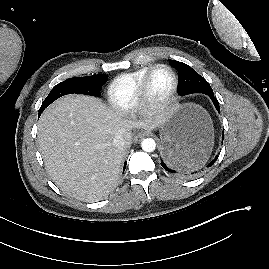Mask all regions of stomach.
<instances>
[{
	"instance_id": "obj_1",
	"label": "stomach",
	"mask_w": 269,
	"mask_h": 269,
	"mask_svg": "<svg viewBox=\"0 0 269 269\" xmlns=\"http://www.w3.org/2000/svg\"><path fill=\"white\" fill-rule=\"evenodd\" d=\"M213 126L207 112L199 105H176L160 127L161 152L173 147L181 166L198 167L213 147Z\"/></svg>"
}]
</instances>
